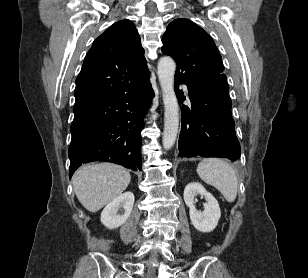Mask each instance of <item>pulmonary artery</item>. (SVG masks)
<instances>
[{
    "mask_svg": "<svg viewBox=\"0 0 308 278\" xmlns=\"http://www.w3.org/2000/svg\"><path fill=\"white\" fill-rule=\"evenodd\" d=\"M182 88H183V90H184L186 93H188V88H187V86H186L185 84H182Z\"/></svg>",
    "mask_w": 308,
    "mask_h": 278,
    "instance_id": "obj_1",
    "label": "pulmonary artery"
}]
</instances>
